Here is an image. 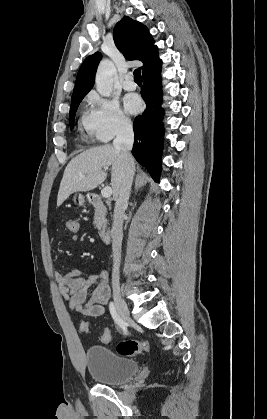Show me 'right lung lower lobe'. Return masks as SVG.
I'll return each mask as SVG.
<instances>
[{
  "mask_svg": "<svg viewBox=\"0 0 267 419\" xmlns=\"http://www.w3.org/2000/svg\"><path fill=\"white\" fill-rule=\"evenodd\" d=\"M160 72L161 62L143 73L144 85L141 94L146 103V110L134 120L135 142L132 149L135 159L148 169L156 181H159L161 172L164 135L163 125L159 122L163 117V110L160 107L162 102Z\"/></svg>",
  "mask_w": 267,
  "mask_h": 419,
  "instance_id": "right-lung-lower-lobe-1",
  "label": "right lung lower lobe"
}]
</instances>
